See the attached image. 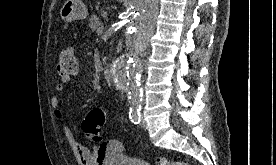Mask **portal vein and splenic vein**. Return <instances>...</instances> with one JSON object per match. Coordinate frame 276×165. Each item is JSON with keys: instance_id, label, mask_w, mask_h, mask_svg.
Wrapping results in <instances>:
<instances>
[{"instance_id": "portal-vein-and-splenic-vein-1", "label": "portal vein and splenic vein", "mask_w": 276, "mask_h": 165, "mask_svg": "<svg viewBox=\"0 0 276 165\" xmlns=\"http://www.w3.org/2000/svg\"><path fill=\"white\" fill-rule=\"evenodd\" d=\"M103 33H104V28L103 27L97 29V34L98 35H102Z\"/></svg>"}]
</instances>
